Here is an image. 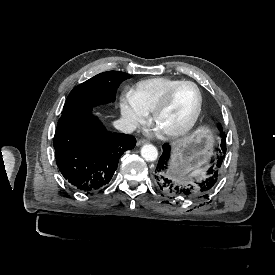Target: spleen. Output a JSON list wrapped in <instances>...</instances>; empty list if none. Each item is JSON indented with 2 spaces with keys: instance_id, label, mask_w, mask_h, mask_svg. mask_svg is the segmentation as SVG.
Returning <instances> with one entry per match:
<instances>
[{
  "instance_id": "obj_1",
  "label": "spleen",
  "mask_w": 275,
  "mask_h": 275,
  "mask_svg": "<svg viewBox=\"0 0 275 275\" xmlns=\"http://www.w3.org/2000/svg\"><path fill=\"white\" fill-rule=\"evenodd\" d=\"M208 170V167L205 168H196L190 173V177L202 176Z\"/></svg>"
}]
</instances>
